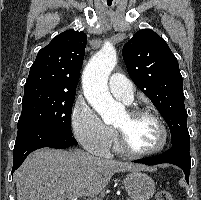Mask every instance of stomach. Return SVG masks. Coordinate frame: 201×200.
I'll use <instances>...</instances> for the list:
<instances>
[{"mask_svg":"<svg viewBox=\"0 0 201 200\" xmlns=\"http://www.w3.org/2000/svg\"><path fill=\"white\" fill-rule=\"evenodd\" d=\"M123 184L133 200H149L155 193L153 179L142 171H130Z\"/></svg>","mask_w":201,"mask_h":200,"instance_id":"stomach-1","label":"stomach"}]
</instances>
